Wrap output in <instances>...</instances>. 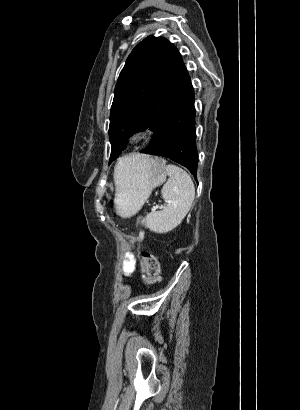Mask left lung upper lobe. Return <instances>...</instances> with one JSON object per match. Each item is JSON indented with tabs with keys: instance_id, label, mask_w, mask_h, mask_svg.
<instances>
[{
	"instance_id": "obj_1",
	"label": "left lung upper lobe",
	"mask_w": 300,
	"mask_h": 410,
	"mask_svg": "<svg viewBox=\"0 0 300 410\" xmlns=\"http://www.w3.org/2000/svg\"><path fill=\"white\" fill-rule=\"evenodd\" d=\"M190 76L178 49L167 39L149 36L128 56L114 91L110 113L109 164L126 148L132 134L156 129L180 100Z\"/></svg>"
}]
</instances>
